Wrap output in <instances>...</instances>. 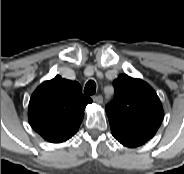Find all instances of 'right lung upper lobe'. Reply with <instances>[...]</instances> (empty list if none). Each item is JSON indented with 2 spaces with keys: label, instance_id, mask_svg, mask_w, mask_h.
Here are the masks:
<instances>
[{
  "label": "right lung upper lobe",
  "instance_id": "obj_1",
  "mask_svg": "<svg viewBox=\"0 0 184 174\" xmlns=\"http://www.w3.org/2000/svg\"><path fill=\"white\" fill-rule=\"evenodd\" d=\"M89 103L91 98L82 94L78 82L57 75L43 82L32 94L29 123L45 140L64 142L78 131Z\"/></svg>",
  "mask_w": 184,
  "mask_h": 174
}]
</instances>
